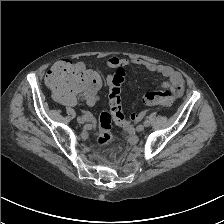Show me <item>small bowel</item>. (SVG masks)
<instances>
[{"instance_id": "1", "label": "small bowel", "mask_w": 224, "mask_h": 224, "mask_svg": "<svg viewBox=\"0 0 224 224\" xmlns=\"http://www.w3.org/2000/svg\"><path fill=\"white\" fill-rule=\"evenodd\" d=\"M105 63L108 67L114 69L126 68L133 65L142 66L146 68L148 71L159 73L166 78V81L163 83V86L164 88H167L171 91L173 99H176L183 94L184 88H183L182 75L169 66L156 64L140 58L129 59V58H119L116 56L108 57L105 60ZM108 80L111 81V77ZM130 119L135 120L137 119V116L132 114Z\"/></svg>"}]
</instances>
